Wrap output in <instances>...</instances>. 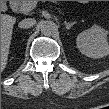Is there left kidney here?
I'll return each instance as SVG.
<instances>
[{
    "mask_svg": "<svg viewBox=\"0 0 109 109\" xmlns=\"http://www.w3.org/2000/svg\"><path fill=\"white\" fill-rule=\"evenodd\" d=\"M76 44L79 51L90 58L98 59L107 56L108 31L94 25L77 36Z\"/></svg>",
    "mask_w": 109,
    "mask_h": 109,
    "instance_id": "left-kidney-1",
    "label": "left kidney"
}]
</instances>
